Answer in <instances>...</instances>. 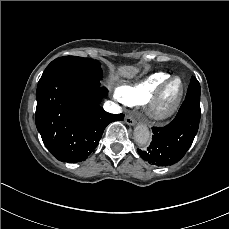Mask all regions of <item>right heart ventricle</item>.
<instances>
[{
    "label": "right heart ventricle",
    "instance_id": "obj_1",
    "mask_svg": "<svg viewBox=\"0 0 229 229\" xmlns=\"http://www.w3.org/2000/svg\"><path fill=\"white\" fill-rule=\"evenodd\" d=\"M172 78L163 71L149 73L142 78L120 86L117 94L126 102H138L155 96L161 88Z\"/></svg>",
    "mask_w": 229,
    "mask_h": 229
}]
</instances>
